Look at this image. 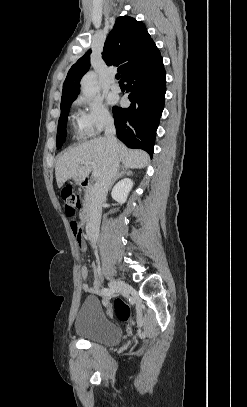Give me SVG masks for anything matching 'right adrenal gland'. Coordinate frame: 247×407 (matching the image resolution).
Segmentation results:
<instances>
[{
  "instance_id": "2a0ac1e0",
  "label": "right adrenal gland",
  "mask_w": 247,
  "mask_h": 407,
  "mask_svg": "<svg viewBox=\"0 0 247 407\" xmlns=\"http://www.w3.org/2000/svg\"><path fill=\"white\" fill-rule=\"evenodd\" d=\"M131 174H132V172H131L128 168H125V167L119 168L118 171H117V173H116V175H115V177H114V179H113V181H112V183H111L110 188L113 186V184H114L118 179L124 177L125 175L129 176V175H131Z\"/></svg>"
}]
</instances>
